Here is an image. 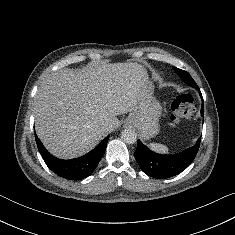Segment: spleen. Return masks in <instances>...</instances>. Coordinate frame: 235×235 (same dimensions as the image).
Here are the masks:
<instances>
[{"label": "spleen", "instance_id": "spleen-1", "mask_svg": "<svg viewBox=\"0 0 235 235\" xmlns=\"http://www.w3.org/2000/svg\"><path fill=\"white\" fill-rule=\"evenodd\" d=\"M148 146L156 152L168 153V148L165 145L158 144V143H150V144H148Z\"/></svg>", "mask_w": 235, "mask_h": 235}]
</instances>
